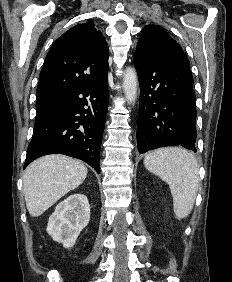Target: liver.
<instances>
[{"label":"liver","instance_id":"obj_1","mask_svg":"<svg viewBox=\"0 0 232 282\" xmlns=\"http://www.w3.org/2000/svg\"><path fill=\"white\" fill-rule=\"evenodd\" d=\"M86 166L73 158L52 154L32 162L23 176L28 212L38 217L87 176Z\"/></svg>","mask_w":232,"mask_h":282}]
</instances>
